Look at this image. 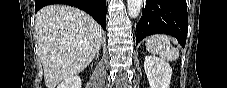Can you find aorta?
Here are the masks:
<instances>
[{
    "label": "aorta",
    "instance_id": "1",
    "mask_svg": "<svg viewBox=\"0 0 227 88\" xmlns=\"http://www.w3.org/2000/svg\"><path fill=\"white\" fill-rule=\"evenodd\" d=\"M142 2V0H127L128 13L131 18H136L139 16Z\"/></svg>",
    "mask_w": 227,
    "mask_h": 88
}]
</instances>
